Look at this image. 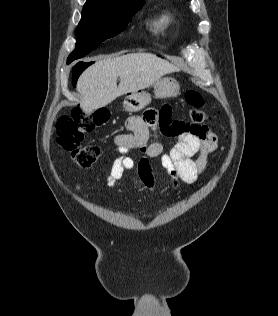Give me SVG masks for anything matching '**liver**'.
Returning <instances> with one entry per match:
<instances>
[{"mask_svg":"<svg viewBox=\"0 0 278 316\" xmlns=\"http://www.w3.org/2000/svg\"><path fill=\"white\" fill-rule=\"evenodd\" d=\"M178 71V67L151 53H132L96 61L77 82V90L82 96L81 107L91 113L121 95L136 93L162 76Z\"/></svg>","mask_w":278,"mask_h":316,"instance_id":"1","label":"liver"}]
</instances>
